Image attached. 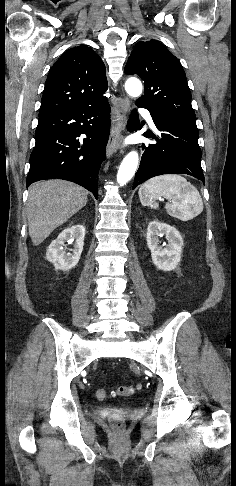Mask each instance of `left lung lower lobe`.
Instances as JSON below:
<instances>
[{
  "label": "left lung lower lobe",
  "mask_w": 236,
  "mask_h": 486,
  "mask_svg": "<svg viewBox=\"0 0 236 486\" xmlns=\"http://www.w3.org/2000/svg\"><path fill=\"white\" fill-rule=\"evenodd\" d=\"M136 105L150 111L161 136L160 139L156 138L157 144L143 145L144 152L135 175L133 189L146 180L162 174H188L204 183L198 129L171 121L141 103L136 102ZM127 127L129 131L141 129L136 111L131 113Z\"/></svg>",
  "instance_id": "0a47b994"
}]
</instances>
